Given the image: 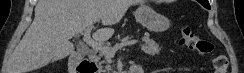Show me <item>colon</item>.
Here are the masks:
<instances>
[{
    "instance_id": "obj_1",
    "label": "colon",
    "mask_w": 244,
    "mask_h": 73,
    "mask_svg": "<svg viewBox=\"0 0 244 73\" xmlns=\"http://www.w3.org/2000/svg\"><path fill=\"white\" fill-rule=\"evenodd\" d=\"M182 43L189 49L201 55H212L214 73H228V60L223 53L215 51V46L208 40L196 36L189 26H182L180 29Z\"/></svg>"
}]
</instances>
